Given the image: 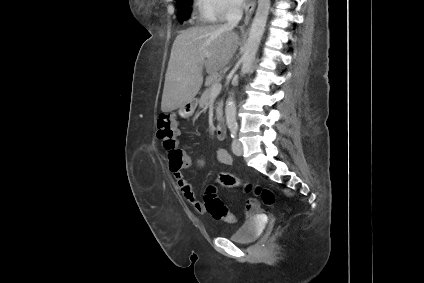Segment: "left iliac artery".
I'll return each instance as SVG.
<instances>
[{
	"label": "left iliac artery",
	"instance_id": "1",
	"mask_svg": "<svg viewBox=\"0 0 424 283\" xmlns=\"http://www.w3.org/2000/svg\"><path fill=\"white\" fill-rule=\"evenodd\" d=\"M230 132H231V137L235 138L237 135V125L233 124L229 126Z\"/></svg>",
	"mask_w": 424,
	"mask_h": 283
}]
</instances>
